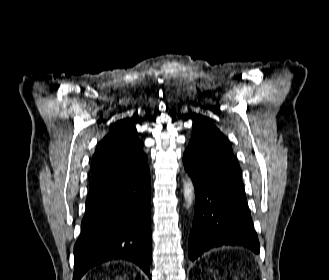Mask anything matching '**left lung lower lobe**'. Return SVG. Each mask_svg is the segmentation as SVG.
Here are the masks:
<instances>
[{"label": "left lung lower lobe", "instance_id": "1", "mask_svg": "<svg viewBox=\"0 0 329 280\" xmlns=\"http://www.w3.org/2000/svg\"><path fill=\"white\" fill-rule=\"evenodd\" d=\"M223 179L206 180L183 163L196 194L195 216L189 237L188 254L195 260L204 252L222 246L245 247L259 253L239 164L221 161Z\"/></svg>", "mask_w": 329, "mask_h": 280}]
</instances>
